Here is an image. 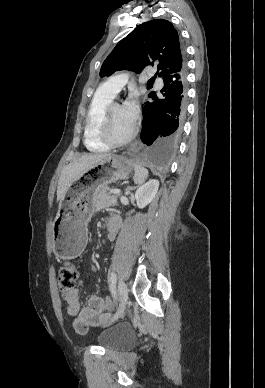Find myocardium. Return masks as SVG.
Masks as SVG:
<instances>
[{
  "instance_id": "myocardium-1",
  "label": "myocardium",
  "mask_w": 265,
  "mask_h": 388,
  "mask_svg": "<svg viewBox=\"0 0 265 388\" xmlns=\"http://www.w3.org/2000/svg\"><path fill=\"white\" fill-rule=\"evenodd\" d=\"M105 91H117V94L119 92L118 90H105ZM115 106H120V105L118 103H111L103 110L98 123V136L104 143L108 145L122 146L128 143L129 141H131L136 136L137 129L135 126H132L131 130L122 137H116L110 133L109 127H108V120H109V115Z\"/></svg>"
}]
</instances>
